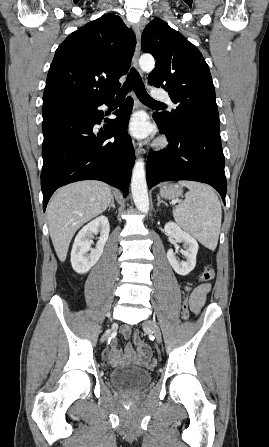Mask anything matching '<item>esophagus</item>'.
Wrapping results in <instances>:
<instances>
[{
  "instance_id": "34e87169",
  "label": "esophagus",
  "mask_w": 269,
  "mask_h": 447,
  "mask_svg": "<svg viewBox=\"0 0 269 447\" xmlns=\"http://www.w3.org/2000/svg\"><path fill=\"white\" fill-rule=\"evenodd\" d=\"M133 30H134V33L136 36V47H135V52H134V56H133V66L140 73V69L138 67V60H139L140 51H141V31H140L139 25L134 24ZM133 145L135 148L136 155L145 153L143 148L139 147L135 141H133Z\"/></svg>"
}]
</instances>
